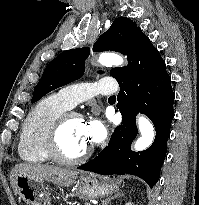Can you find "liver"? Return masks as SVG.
I'll return each mask as SVG.
<instances>
[{"label":"liver","instance_id":"6515ba94","mask_svg":"<svg viewBox=\"0 0 199 205\" xmlns=\"http://www.w3.org/2000/svg\"><path fill=\"white\" fill-rule=\"evenodd\" d=\"M19 174L33 176L58 186L69 187L75 182L79 171L43 164H17L10 172V184L15 194H18L15 182Z\"/></svg>","mask_w":199,"mask_h":205}]
</instances>
